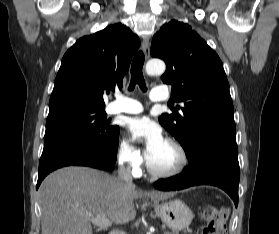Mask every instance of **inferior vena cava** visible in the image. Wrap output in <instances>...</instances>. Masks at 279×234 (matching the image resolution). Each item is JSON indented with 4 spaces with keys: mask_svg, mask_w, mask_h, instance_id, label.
<instances>
[{
    "mask_svg": "<svg viewBox=\"0 0 279 234\" xmlns=\"http://www.w3.org/2000/svg\"><path fill=\"white\" fill-rule=\"evenodd\" d=\"M118 178L124 181L127 185L134 186L130 169L128 167H125L123 164H121L120 168L118 169ZM109 234H125V233L118 230H114L111 231Z\"/></svg>",
    "mask_w": 279,
    "mask_h": 234,
    "instance_id": "inferior-vena-cava-1",
    "label": "inferior vena cava"
}]
</instances>
